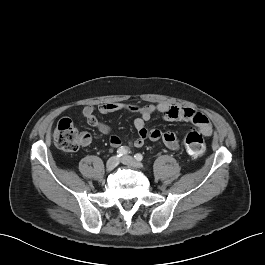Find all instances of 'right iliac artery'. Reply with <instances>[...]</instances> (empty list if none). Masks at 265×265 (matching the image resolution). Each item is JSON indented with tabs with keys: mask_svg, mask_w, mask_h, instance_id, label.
Listing matches in <instances>:
<instances>
[{
	"mask_svg": "<svg viewBox=\"0 0 265 265\" xmlns=\"http://www.w3.org/2000/svg\"><path fill=\"white\" fill-rule=\"evenodd\" d=\"M129 153V150L128 148L126 147H120L118 150H117V156L118 157H121V156H124V155H127Z\"/></svg>",
	"mask_w": 265,
	"mask_h": 265,
	"instance_id": "1",
	"label": "right iliac artery"
}]
</instances>
